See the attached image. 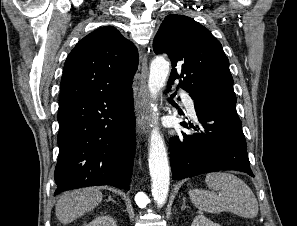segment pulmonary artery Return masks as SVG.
Listing matches in <instances>:
<instances>
[{
	"mask_svg": "<svg viewBox=\"0 0 297 226\" xmlns=\"http://www.w3.org/2000/svg\"><path fill=\"white\" fill-rule=\"evenodd\" d=\"M179 95L183 98L184 103L186 107L188 108V111L192 117L196 116L194 104L192 99L189 97V95L184 90H179Z\"/></svg>",
	"mask_w": 297,
	"mask_h": 226,
	"instance_id": "e3ab8cb5",
	"label": "pulmonary artery"
}]
</instances>
